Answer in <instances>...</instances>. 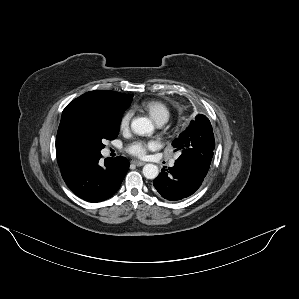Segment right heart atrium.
Here are the masks:
<instances>
[{"instance_id":"1","label":"right heart atrium","mask_w":299,"mask_h":299,"mask_svg":"<svg viewBox=\"0 0 299 299\" xmlns=\"http://www.w3.org/2000/svg\"><path fill=\"white\" fill-rule=\"evenodd\" d=\"M132 115H133V112L130 109L126 110L122 114V116L120 118V121H119V128H120V130H126L129 127L130 121L132 119Z\"/></svg>"}]
</instances>
